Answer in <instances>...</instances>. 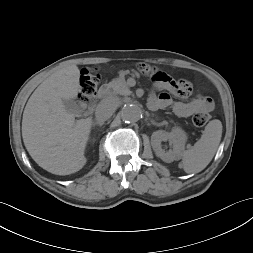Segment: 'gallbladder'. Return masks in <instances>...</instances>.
I'll use <instances>...</instances> for the list:
<instances>
[{"mask_svg":"<svg viewBox=\"0 0 253 253\" xmlns=\"http://www.w3.org/2000/svg\"><path fill=\"white\" fill-rule=\"evenodd\" d=\"M64 107L67 112L71 114H78L79 113V106L74 100H63Z\"/></svg>","mask_w":253,"mask_h":253,"instance_id":"gallbladder-1","label":"gallbladder"}]
</instances>
